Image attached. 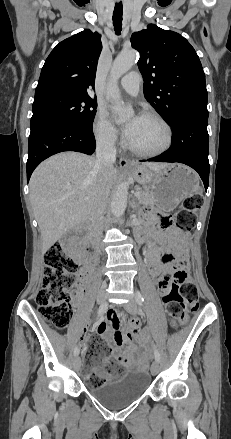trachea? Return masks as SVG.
I'll use <instances>...</instances> for the list:
<instances>
[{
  "label": "trachea",
  "mask_w": 231,
  "mask_h": 439,
  "mask_svg": "<svg viewBox=\"0 0 231 439\" xmlns=\"http://www.w3.org/2000/svg\"><path fill=\"white\" fill-rule=\"evenodd\" d=\"M122 15H123V6L121 3L116 4L114 11H113V25L114 30L117 35H120V32L122 30Z\"/></svg>",
  "instance_id": "obj_1"
}]
</instances>
